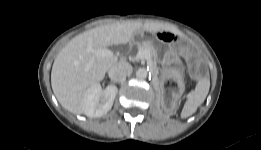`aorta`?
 <instances>
[{
    "label": "aorta",
    "mask_w": 261,
    "mask_h": 150,
    "mask_svg": "<svg viewBox=\"0 0 261 150\" xmlns=\"http://www.w3.org/2000/svg\"><path fill=\"white\" fill-rule=\"evenodd\" d=\"M148 76V71L145 68H140L136 71V77L138 79H146Z\"/></svg>",
    "instance_id": "aorta-1"
}]
</instances>
